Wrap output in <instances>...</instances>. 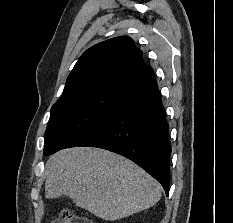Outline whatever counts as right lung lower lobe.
<instances>
[{"label": "right lung lower lobe", "instance_id": "98d812e1", "mask_svg": "<svg viewBox=\"0 0 233 223\" xmlns=\"http://www.w3.org/2000/svg\"><path fill=\"white\" fill-rule=\"evenodd\" d=\"M121 99V111L79 146L99 147L125 156L157 179L168 195L171 147L154 77L123 90Z\"/></svg>", "mask_w": 233, "mask_h": 223}]
</instances>
